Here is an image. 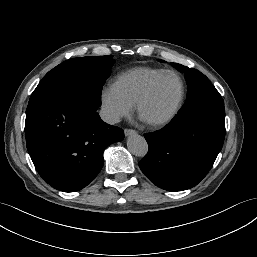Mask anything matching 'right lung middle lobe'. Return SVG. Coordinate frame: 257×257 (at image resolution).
I'll return each mask as SVG.
<instances>
[{"label": "right lung middle lobe", "mask_w": 257, "mask_h": 257, "mask_svg": "<svg viewBox=\"0 0 257 257\" xmlns=\"http://www.w3.org/2000/svg\"><path fill=\"white\" fill-rule=\"evenodd\" d=\"M114 63L112 55L69 59L49 71L31 97L66 89H80L97 102Z\"/></svg>", "instance_id": "1"}]
</instances>
